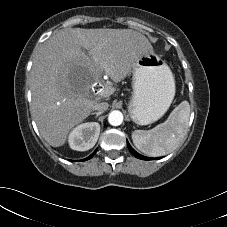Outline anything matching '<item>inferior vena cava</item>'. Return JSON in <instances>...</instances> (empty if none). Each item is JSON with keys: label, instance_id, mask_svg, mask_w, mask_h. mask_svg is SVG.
Wrapping results in <instances>:
<instances>
[{"label": "inferior vena cava", "instance_id": "inferior-vena-cava-1", "mask_svg": "<svg viewBox=\"0 0 227 227\" xmlns=\"http://www.w3.org/2000/svg\"><path fill=\"white\" fill-rule=\"evenodd\" d=\"M108 103H106V102H101V103H95L94 105H93V110H97V111H99V112H104V111H106L107 109H108Z\"/></svg>", "mask_w": 227, "mask_h": 227}]
</instances>
